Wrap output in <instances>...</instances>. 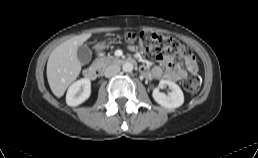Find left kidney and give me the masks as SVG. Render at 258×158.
Listing matches in <instances>:
<instances>
[{"label": "left kidney", "mask_w": 258, "mask_h": 158, "mask_svg": "<svg viewBox=\"0 0 258 158\" xmlns=\"http://www.w3.org/2000/svg\"><path fill=\"white\" fill-rule=\"evenodd\" d=\"M166 86L171 92L166 95L159 91ZM153 99L165 108H178L184 103V94L181 88L174 82L169 80H160L158 88H155L152 93Z\"/></svg>", "instance_id": "left-kidney-1"}]
</instances>
